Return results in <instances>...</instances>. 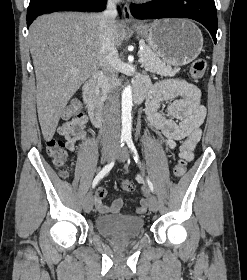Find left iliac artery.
<instances>
[{"instance_id":"obj_1","label":"left iliac artery","mask_w":247,"mask_h":280,"mask_svg":"<svg viewBox=\"0 0 247 280\" xmlns=\"http://www.w3.org/2000/svg\"><path fill=\"white\" fill-rule=\"evenodd\" d=\"M126 143H127L128 147L131 150V153L133 155V159L135 160V162L139 166H141V163H140V160H139V155H138L137 149H136V147H135V145H134V143L132 141L131 136L126 137ZM147 183H148V186H149L150 190L152 192H154V186H153L152 182L149 180V178H147Z\"/></svg>"}]
</instances>
